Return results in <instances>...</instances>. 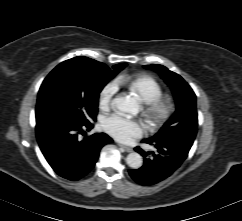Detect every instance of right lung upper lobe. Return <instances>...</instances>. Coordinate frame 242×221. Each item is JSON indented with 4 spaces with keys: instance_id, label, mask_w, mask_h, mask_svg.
Here are the masks:
<instances>
[{
    "instance_id": "obj_1",
    "label": "right lung upper lobe",
    "mask_w": 242,
    "mask_h": 221,
    "mask_svg": "<svg viewBox=\"0 0 242 221\" xmlns=\"http://www.w3.org/2000/svg\"><path fill=\"white\" fill-rule=\"evenodd\" d=\"M89 60H92V59L87 58V57H75V58L69 59V60L64 61V62L65 63H83V62H87Z\"/></svg>"
}]
</instances>
